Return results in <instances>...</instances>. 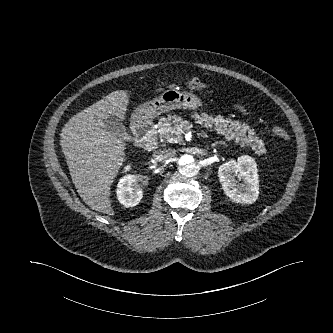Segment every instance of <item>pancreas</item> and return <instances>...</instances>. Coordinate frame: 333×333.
<instances>
[{"label": "pancreas", "mask_w": 333, "mask_h": 333, "mask_svg": "<svg viewBox=\"0 0 333 333\" xmlns=\"http://www.w3.org/2000/svg\"><path fill=\"white\" fill-rule=\"evenodd\" d=\"M192 117L203 127L216 130L218 133L224 135L228 141L235 140L241 147L251 148L258 155H262L265 152L254 130L250 129L246 124H242L230 118L224 119L222 116L214 118L205 113L202 115L194 113ZM182 123H185V121H183L181 117L168 115L167 117L161 118L158 122L159 136L170 143L182 140V134L189 131L188 126L184 127L180 125Z\"/></svg>", "instance_id": "pancreas-1"}]
</instances>
